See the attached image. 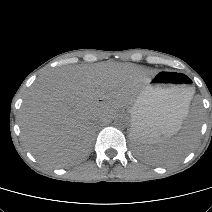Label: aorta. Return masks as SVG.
<instances>
[{
    "instance_id": "762f6f07",
    "label": "aorta",
    "mask_w": 212,
    "mask_h": 212,
    "mask_svg": "<svg viewBox=\"0 0 212 212\" xmlns=\"http://www.w3.org/2000/svg\"><path fill=\"white\" fill-rule=\"evenodd\" d=\"M114 125L117 128H124L127 125V119L124 117H118L115 121H114Z\"/></svg>"
}]
</instances>
